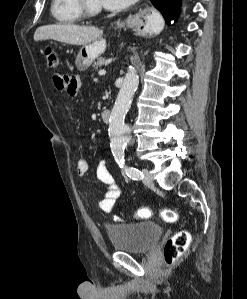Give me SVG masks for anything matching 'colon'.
I'll use <instances>...</instances> for the list:
<instances>
[{
    "instance_id": "colon-1",
    "label": "colon",
    "mask_w": 247,
    "mask_h": 299,
    "mask_svg": "<svg viewBox=\"0 0 247 299\" xmlns=\"http://www.w3.org/2000/svg\"><path fill=\"white\" fill-rule=\"evenodd\" d=\"M45 59L48 68L55 69L58 67V56L51 48L45 49ZM153 215V210L147 207L140 208L136 211L135 217L138 219H148ZM160 216L167 222H174L178 214L168 208L160 210ZM190 243V234L187 231H179L170 237L164 245V256L167 264L173 263L187 250Z\"/></svg>"
}]
</instances>
